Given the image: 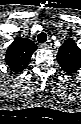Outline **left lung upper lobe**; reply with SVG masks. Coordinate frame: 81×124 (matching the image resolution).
I'll return each mask as SVG.
<instances>
[{
	"instance_id": "obj_1",
	"label": "left lung upper lobe",
	"mask_w": 81,
	"mask_h": 124,
	"mask_svg": "<svg viewBox=\"0 0 81 124\" xmlns=\"http://www.w3.org/2000/svg\"><path fill=\"white\" fill-rule=\"evenodd\" d=\"M57 59L61 69L69 75L81 70V49L73 39H67L59 48Z\"/></svg>"
}]
</instances>
